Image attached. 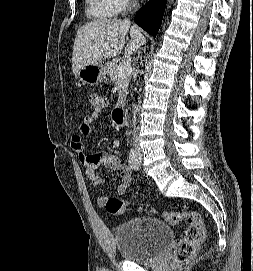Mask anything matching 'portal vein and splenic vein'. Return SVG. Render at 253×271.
Returning a JSON list of instances; mask_svg holds the SVG:
<instances>
[{"label":"portal vein and splenic vein","instance_id":"1","mask_svg":"<svg viewBox=\"0 0 253 271\" xmlns=\"http://www.w3.org/2000/svg\"><path fill=\"white\" fill-rule=\"evenodd\" d=\"M131 72H132V67H131V63H129V62L123 63V65L120 66L118 69L119 77H123L127 74H130Z\"/></svg>","mask_w":253,"mask_h":271}]
</instances>
